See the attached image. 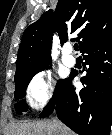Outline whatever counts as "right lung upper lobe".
<instances>
[{
	"instance_id": "right-lung-upper-lobe-1",
	"label": "right lung upper lobe",
	"mask_w": 112,
	"mask_h": 135,
	"mask_svg": "<svg viewBox=\"0 0 112 135\" xmlns=\"http://www.w3.org/2000/svg\"><path fill=\"white\" fill-rule=\"evenodd\" d=\"M61 43L69 35L86 48L112 39L111 0H59L55 12L48 10L24 31L18 50L16 74L34 73L51 63L52 34Z\"/></svg>"
}]
</instances>
